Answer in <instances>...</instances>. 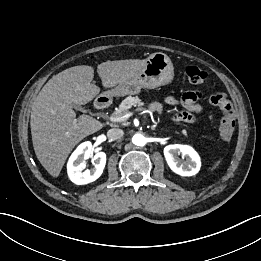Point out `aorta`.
<instances>
[{
    "label": "aorta",
    "instance_id": "aorta-1",
    "mask_svg": "<svg viewBox=\"0 0 261 261\" xmlns=\"http://www.w3.org/2000/svg\"><path fill=\"white\" fill-rule=\"evenodd\" d=\"M132 142L137 146H144L146 143V138L142 134H135L132 138Z\"/></svg>",
    "mask_w": 261,
    "mask_h": 261
}]
</instances>
